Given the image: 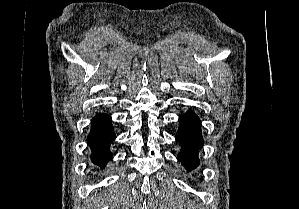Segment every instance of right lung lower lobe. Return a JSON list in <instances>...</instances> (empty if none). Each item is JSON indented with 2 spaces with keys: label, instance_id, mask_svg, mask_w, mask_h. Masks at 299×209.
Listing matches in <instances>:
<instances>
[{
  "label": "right lung lower lobe",
  "instance_id": "98d812e1",
  "mask_svg": "<svg viewBox=\"0 0 299 209\" xmlns=\"http://www.w3.org/2000/svg\"><path fill=\"white\" fill-rule=\"evenodd\" d=\"M115 138L111 117L103 113L95 115L91 122L87 142L91 150L90 160L97 170L104 169L112 159L113 154L110 152L109 146Z\"/></svg>",
  "mask_w": 299,
  "mask_h": 209
}]
</instances>
